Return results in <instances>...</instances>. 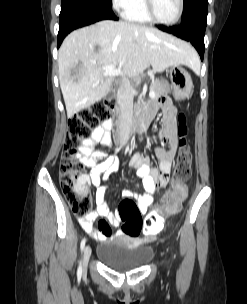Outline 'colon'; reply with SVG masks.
Returning <instances> with one entry per match:
<instances>
[{
    "mask_svg": "<svg viewBox=\"0 0 247 304\" xmlns=\"http://www.w3.org/2000/svg\"><path fill=\"white\" fill-rule=\"evenodd\" d=\"M116 104L114 97H108L94 103L91 107L74 114L68 121V132L60 160V186L72 209L80 219L90 214L91 198L88 191L86 174L83 164L77 159L81 143L91 134L92 129L100 122L107 120ZM179 151L174 169L173 190L167 191L162 197V210L152 211L144 221L140 216L137 204L126 198L121 201L118 215L122 221V231L129 236H138L141 232L147 235L159 233L164 226V217L179 210L188 189L187 180L192 171V153L186 141L187 126L183 114L178 117Z\"/></svg>",
    "mask_w": 247,
    "mask_h": 304,
    "instance_id": "5ec220e1",
    "label": "colon"
}]
</instances>
